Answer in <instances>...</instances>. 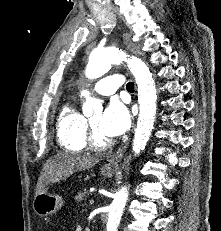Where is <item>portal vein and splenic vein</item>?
Returning a JSON list of instances; mask_svg holds the SVG:
<instances>
[{"label":"portal vein and splenic vein","mask_w":221,"mask_h":231,"mask_svg":"<svg viewBox=\"0 0 221 231\" xmlns=\"http://www.w3.org/2000/svg\"><path fill=\"white\" fill-rule=\"evenodd\" d=\"M89 204H94V199L93 198H91V199H89Z\"/></svg>","instance_id":"portal-vein-and-splenic-vein-1"}]
</instances>
